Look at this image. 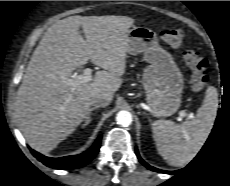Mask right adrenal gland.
<instances>
[{"instance_id": "2a0ac1e0", "label": "right adrenal gland", "mask_w": 230, "mask_h": 186, "mask_svg": "<svg viewBox=\"0 0 230 186\" xmlns=\"http://www.w3.org/2000/svg\"><path fill=\"white\" fill-rule=\"evenodd\" d=\"M96 109H98V107H93L90 109L88 115L86 116V118L84 120L83 126H87L92 121L91 115H92V112Z\"/></svg>"}]
</instances>
